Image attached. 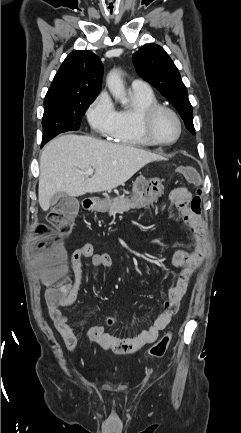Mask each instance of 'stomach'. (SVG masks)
I'll use <instances>...</instances> for the list:
<instances>
[{"instance_id": "obj_1", "label": "stomach", "mask_w": 241, "mask_h": 433, "mask_svg": "<svg viewBox=\"0 0 241 433\" xmlns=\"http://www.w3.org/2000/svg\"><path fill=\"white\" fill-rule=\"evenodd\" d=\"M163 191L164 186L159 178L146 179L144 176H139L133 184L131 201L137 203L139 207L146 206L156 201ZM111 202L109 197L104 200L94 199L93 207L96 210H105Z\"/></svg>"}]
</instances>
